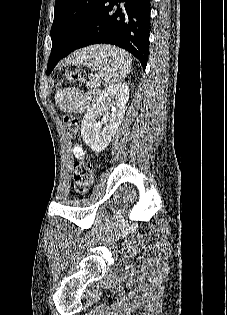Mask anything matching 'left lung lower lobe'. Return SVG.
Returning <instances> with one entry per match:
<instances>
[{"label": "left lung lower lobe", "instance_id": "left-lung-lower-lobe-1", "mask_svg": "<svg viewBox=\"0 0 227 315\" xmlns=\"http://www.w3.org/2000/svg\"><path fill=\"white\" fill-rule=\"evenodd\" d=\"M149 26L150 0H103L91 21L69 47L60 50L53 45L47 74L71 52L100 43L129 51L145 69L149 54Z\"/></svg>", "mask_w": 227, "mask_h": 315}]
</instances>
